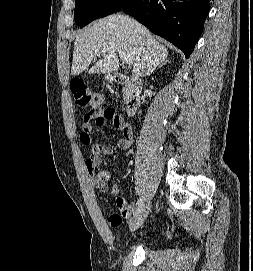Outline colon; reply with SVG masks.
Segmentation results:
<instances>
[{
  "label": "colon",
  "instance_id": "obj_1",
  "mask_svg": "<svg viewBox=\"0 0 253 271\" xmlns=\"http://www.w3.org/2000/svg\"><path fill=\"white\" fill-rule=\"evenodd\" d=\"M72 91L74 95V101L77 105L81 107H91V112H101L102 113V95L96 91L89 90L81 81L75 80L72 82ZM103 116L108 120H113L118 122L119 116L112 109H106L103 112ZM117 205L119 208L124 206L122 200H117ZM108 221L111 225H116L120 223V218L118 216H110Z\"/></svg>",
  "mask_w": 253,
  "mask_h": 271
}]
</instances>
